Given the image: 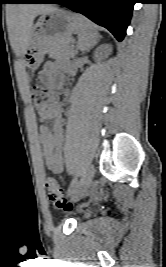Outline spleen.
<instances>
[{"instance_id": "3e777b00", "label": "spleen", "mask_w": 166, "mask_h": 267, "mask_svg": "<svg viewBox=\"0 0 166 267\" xmlns=\"http://www.w3.org/2000/svg\"><path fill=\"white\" fill-rule=\"evenodd\" d=\"M99 33L96 31L95 25L81 16V24L78 30V48L81 51L89 50L97 43Z\"/></svg>"}]
</instances>
